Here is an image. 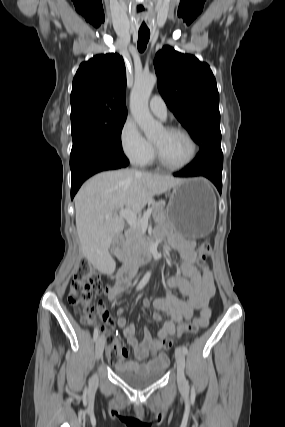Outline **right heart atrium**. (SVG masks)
Segmentation results:
<instances>
[{
    "label": "right heart atrium",
    "instance_id": "right-heart-atrium-1",
    "mask_svg": "<svg viewBox=\"0 0 285 427\" xmlns=\"http://www.w3.org/2000/svg\"><path fill=\"white\" fill-rule=\"evenodd\" d=\"M120 147L125 157L135 165L145 164L153 155V145L145 138L137 123L127 118L119 132Z\"/></svg>",
    "mask_w": 285,
    "mask_h": 427
}]
</instances>
